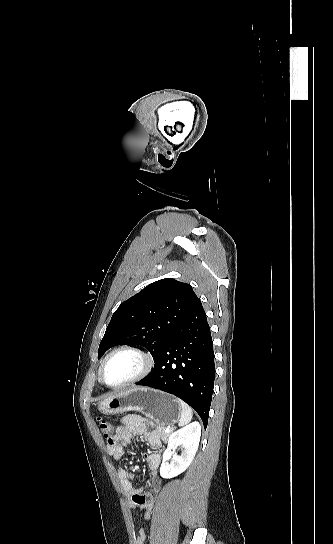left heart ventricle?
I'll use <instances>...</instances> for the list:
<instances>
[{"instance_id":"obj_1","label":"left heart ventricle","mask_w":333,"mask_h":544,"mask_svg":"<svg viewBox=\"0 0 333 544\" xmlns=\"http://www.w3.org/2000/svg\"><path fill=\"white\" fill-rule=\"evenodd\" d=\"M139 356L121 352L109 359L104 368V379L110 385H117L135 376L141 369Z\"/></svg>"}]
</instances>
